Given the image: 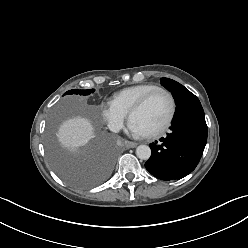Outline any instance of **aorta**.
Returning a JSON list of instances; mask_svg holds the SVG:
<instances>
[{
    "instance_id": "762f6f07",
    "label": "aorta",
    "mask_w": 248,
    "mask_h": 248,
    "mask_svg": "<svg viewBox=\"0 0 248 248\" xmlns=\"http://www.w3.org/2000/svg\"><path fill=\"white\" fill-rule=\"evenodd\" d=\"M136 155L140 159L148 160L151 156V149L147 145H139L136 148Z\"/></svg>"
}]
</instances>
